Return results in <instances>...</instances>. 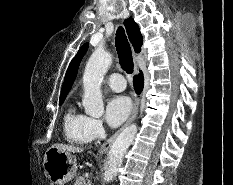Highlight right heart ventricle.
<instances>
[{"mask_svg":"<svg viewBox=\"0 0 233 185\" xmlns=\"http://www.w3.org/2000/svg\"><path fill=\"white\" fill-rule=\"evenodd\" d=\"M88 116L80 113L74 105L70 106L64 116V131L69 142L83 145L89 142L86 134Z\"/></svg>","mask_w":233,"mask_h":185,"instance_id":"e07e8e85","label":"right heart ventricle"}]
</instances>
